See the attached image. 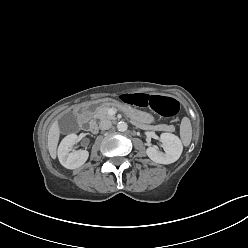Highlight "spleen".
Segmentation results:
<instances>
[{"label": "spleen", "instance_id": "3e777b00", "mask_svg": "<svg viewBox=\"0 0 248 248\" xmlns=\"http://www.w3.org/2000/svg\"><path fill=\"white\" fill-rule=\"evenodd\" d=\"M180 138L184 146H189L192 139V126L189 118L184 117L180 125Z\"/></svg>", "mask_w": 248, "mask_h": 248}]
</instances>
